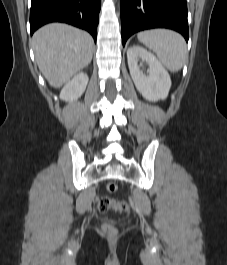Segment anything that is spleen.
<instances>
[{"label":"spleen","mask_w":227,"mask_h":265,"mask_svg":"<svg viewBox=\"0 0 227 265\" xmlns=\"http://www.w3.org/2000/svg\"><path fill=\"white\" fill-rule=\"evenodd\" d=\"M138 40L156 53L161 63L171 72L179 71L188 56L184 38L168 29L142 31Z\"/></svg>","instance_id":"spleen-1"}]
</instances>
